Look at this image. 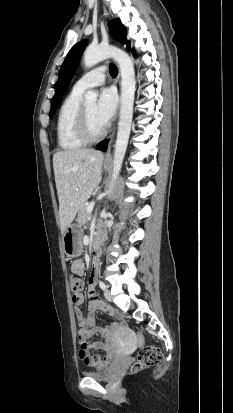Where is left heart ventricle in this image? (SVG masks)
<instances>
[{
	"label": "left heart ventricle",
	"instance_id": "b2bd125f",
	"mask_svg": "<svg viewBox=\"0 0 233 413\" xmlns=\"http://www.w3.org/2000/svg\"><path fill=\"white\" fill-rule=\"evenodd\" d=\"M85 107L88 113L90 129L93 134H98L103 129L104 126L97 119L96 103L95 102L87 103Z\"/></svg>",
	"mask_w": 233,
	"mask_h": 413
}]
</instances>
